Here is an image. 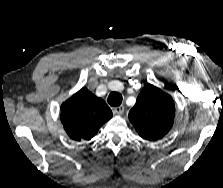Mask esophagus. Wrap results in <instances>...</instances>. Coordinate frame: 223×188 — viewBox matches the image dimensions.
Segmentation results:
<instances>
[{"mask_svg":"<svg viewBox=\"0 0 223 188\" xmlns=\"http://www.w3.org/2000/svg\"><path fill=\"white\" fill-rule=\"evenodd\" d=\"M113 113L116 115H122L124 113V106H118L113 109Z\"/></svg>","mask_w":223,"mask_h":188,"instance_id":"34e87169","label":"esophagus"}]
</instances>
